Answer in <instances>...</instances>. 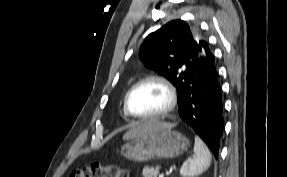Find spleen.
Returning <instances> with one entry per match:
<instances>
[{"label": "spleen", "instance_id": "spleen-1", "mask_svg": "<svg viewBox=\"0 0 287 177\" xmlns=\"http://www.w3.org/2000/svg\"><path fill=\"white\" fill-rule=\"evenodd\" d=\"M194 154L195 156L184 162L180 169V174L183 177L198 176L206 171L211 164V154L198 136H195Z\"/></svg>", "mask_w": 287, "mask_h": 177}]
</instances>
